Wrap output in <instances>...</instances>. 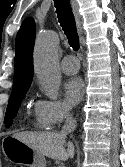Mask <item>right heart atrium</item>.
Returning <instances> with one entry per match:
<instances>
[{
	"label": "right heart atrium",
	"instance_id": "right-heart-atrium-1",
	"mask_svg": "<svg viewBox=\"0 0 125 167\" xmlns=\"http://www.w3.org/2000/svg\"><path fill=\"white\" fill-rule=\"evenodd\" d=\"M34 114L44 128H55L71 115L70 107L60 100L38 99L34 104Z\"/></svg>",
	"mask_w": 125,
	"mask_h": 167
}]
</instances>
